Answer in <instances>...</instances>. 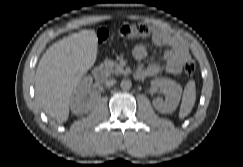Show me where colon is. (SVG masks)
<instances>
[{"label": "colon", "instance_id": "1", "mask_svg": "<svg viewBox=\"0 0 243 167\" xmlns=\"http://www.w3.org/2000/svg\"><path fill=\"white\" fill-rule=\"evenodd\" d=\"M119 34L125 39H149L152 36L150 27L146 24H124L119 28ZM108 37L106 29H101L99 32V38L105 40ZM196 70V64L192 59H189L184 65V72L187 76H192Z\"/></svg>", "mask_w": 243, "mask_h": 167}]
</instances>
